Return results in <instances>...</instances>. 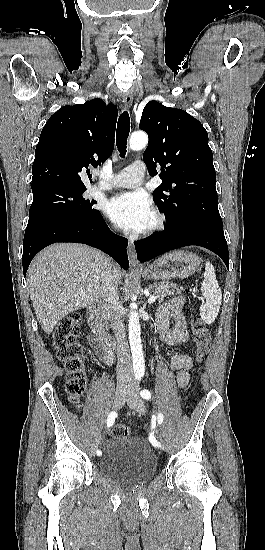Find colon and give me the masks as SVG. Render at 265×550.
Here are the masks:
<instances>
[{
    "instance_id": "obj_1",
    "label": "colon",
    "mask_w": 265,
    "mask_h": 550,
    "mask_svg": "<svg viewBox=\"0 0 265 550\" xmlns=\"http://www.w3.org/2000/svg\"><path fill=\"white\" fill-rule=\"evenodd\" d=\"M80 329L79 314L71 313L60 320L52 334L56 357L64 364L66 369V391L73 404H78L87 384L81 348L77 342ZM192 331L195 359L200 362L209 351L211 334L204 322L199 319L192 322ZM111 435L113 438H126L130 436V429L127 426L118 425L112 429Z\"/></svg>"
}]
</instances>
